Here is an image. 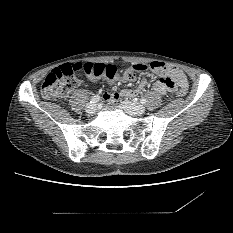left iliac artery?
Wrapping results in <instances>:
<instances>
[{"label": "left iliac artery", "instance_id": "44dca946", "mask_svg": "<svg viewBox=\"0 0 233 233\" xmlns=\"http://www.w3.org/2000/svg\"><path fill=\"white\" fill-rule=\"evenodd\" d=\"M140 102H141L142 104H145V103H146V99H145V98H141V99H140Z\"/></svg>", "mask_w": 233, "mask_h": 233}]
</instances>
